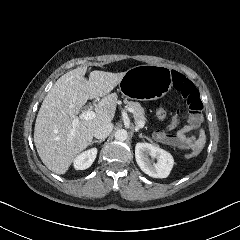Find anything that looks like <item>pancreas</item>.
Instances as JSON below:
<instances>
[{"instance_id": "pancreas-1", "label": "pancreas", "mask_w": 240, "mask_h": 240, "mask_svg": "<svg viewBox=\"0 0 240 240\" xmlns=\"http://www.w3.org/2000/svg\"><path fill=\"white\" fill-rule=\"evenodd\" d=\"M110 98L115 101L116 100V95L113 94L110 96ZM123 103L127 106L128 109L133 110V117L136 121V123L139 122H145L146 117L144 113V109L141 107L139 102H134V101H129V100H124Z\"/></svg>"}]
</instances>
